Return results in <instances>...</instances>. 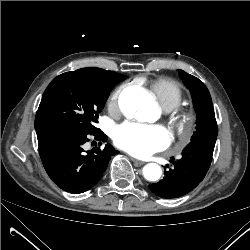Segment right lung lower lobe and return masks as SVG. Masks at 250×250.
I'll list each match as a JSON object with an SVG mask.
<instances>
[{
    "instance_id": "1",
    "label": "right lung lower lobe",
    "mask_w": 250,
    "mask_h": 250,
    "mask_svg": "<svg viewBox=\"0 0 250 250\" xmlns=\"http://www.w3.org/2000/svg\"><path fill=\"white\" fill-rule=\"evenodd\" d=\"M39 153L49 177L70 193H82L96 185L103 176L109 160L118 153L110 144L91 153L83 149L89 136L103 142L107 136L98 131L68 127L41 126L36 129Z\"/></svg>"
}]
</instances>
